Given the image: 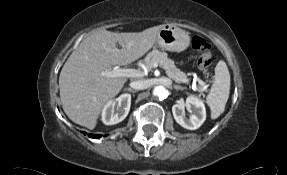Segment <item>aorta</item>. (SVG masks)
Segmentation results:
<instances>
[{
  "label": "aorta",
  "instance_id": "obj_1",
  "mask_svg": "<svg viewBox=\"0 0 287 175\" xmlns=\"http://www.w3.org/2000/svg\"><path fill=\"white\" fill-rule=\"evenodd\" d=\"M154 95L159 97V99H165L167 97V89L164 86H157L154 89Z\"/></svg>",
  "mask_w": 287,
  "mask_h": 175
}]
</instances>
